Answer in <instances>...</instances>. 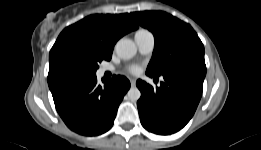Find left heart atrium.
Listing matches in <instances>:
<instances>
[{"mask_svg":"<svg viewBox=\"0 0 261 150\" xmlns=\"http://www.w3.org/2000/svg\"><path fill=\"white\" fill-rule=\"evenodd\" d=\"M129 71L132 73H137L139 71V67L136 65H132L129 67Z\"/></svg>","mask_w":261,"mask_h":150,"instance_id":"39dd6f15","label":"left heart atrium"}]
</instances>
